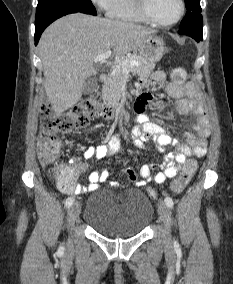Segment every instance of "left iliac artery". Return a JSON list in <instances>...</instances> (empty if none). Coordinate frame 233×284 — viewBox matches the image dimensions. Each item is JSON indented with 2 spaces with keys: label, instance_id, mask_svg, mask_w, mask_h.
Here are the masks:
<instances>
[{
  "label": "left iliac artery",
  "instance_id": "left-iliac-artery-1",
  "mask_svg": "<svg viewBox=\"0 0 233 284\" xmlns=\"http://www.w3.org/2000/svg\"><path fill=\"white\" fill-rule=\"evenodd\" d=\"M164 201H165V204H166L168 207L173 208L174 202H173L172 198L166 197ZM175 244H176V242H175Z\"/></svg>",
  "mask_w": 233,
  "mask_h": 284
}]
</instances>
